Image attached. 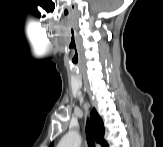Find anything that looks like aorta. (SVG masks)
<instances>
[{
  "instance_id": "obj_1",
  "label": "aorta",
  "mask_w": 163,
  "mask_h": 147,
  "mask_svg": "<svg viewBox=\"0 0 163 147\" xmlns=\"http://www.w3.org/2000/svg\"><path fill=\"white\" fill-rule=\"evenodd\" d=\"M81 137L75 131H69L59 142V147H80Z\"/></svg>"
}]
</instances>
